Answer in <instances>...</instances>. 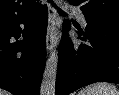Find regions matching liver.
Here are the masks:
<instances>
[{
    "label": "liver",
    "mask_w": 119,
    "mask_h": 95,
    "mask_svg": "<svg viewBox=\"0 0 119 95\" xmlns=\"http://www.w3.org/2000/svg\"><path fill=\"white\" fill-rule=\"evenodd\" d=\"M0 95H10V93L5 90L0 89Z\"/></svg>",
    "instance_id": "liver-1"
}]
</instances>
